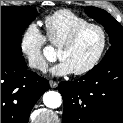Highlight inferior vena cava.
I'll return each mask as SVG.
<instances>
[{
    "label": "inferior vena cava",
    "mask_w": 123,
    "mask_h": 123,
    "mask_svg": "<svg viewBox=\"0 0 123 123\" xmlns=\"http://www.w3.org/2000/svg\"><path fill=\"white\" fill-rule=\"evenodd\" d=\"M29 66L32 68L40 69V70H45L47 67L46 63L44 61H42L41 59L30 60Z\"/></svg>",
    "instance_id": "obj_1"
}]
</instances>
